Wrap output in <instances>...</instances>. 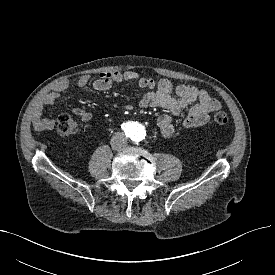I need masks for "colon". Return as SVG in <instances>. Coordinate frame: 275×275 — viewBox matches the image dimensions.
<instances>
[{
	"label": "colon",
	"instance_id": "1",
	"mask_svg": "<svg viewBox=\"0 0 275 275\" xmlns=\"http://www.w3.org/2000/svg\"><path fill=\"white\" fill-rule=\"evenodd\" d=\"M213 121L218 125L227 124L228 114L224 111H218L213 116ZM78 131V123L72 115L68 113L61 114L58 118L57 132L62 137H69Z\"/></svg>",
	"mask_w": 275,
	"mask_h": 275
}]
</instances>
